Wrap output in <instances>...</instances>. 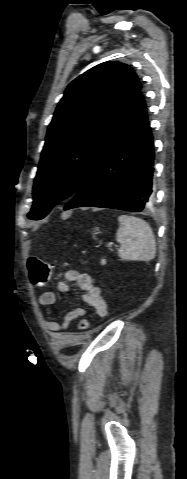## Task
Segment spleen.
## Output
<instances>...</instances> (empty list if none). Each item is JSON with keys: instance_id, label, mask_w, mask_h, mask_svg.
Segmentation results:
<instances>
[{"instance_id": "3e777b00", "label": "spleen", "mask_w": 187, "mask_h": 479, "mask_svg": "<svg viewBox=\"0 0 187 479\" xmlns=\"http://www.w3.org/2000/svg\"><path fill=\"white\" fill-rule=\"evenodd\" d=\"M116 240L120 243L118 255L123 260L149 262L156 255V241L150 225L143 219L129 215L118 218Z\"/></svg>"}]
</instances>
